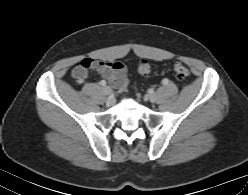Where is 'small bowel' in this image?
I'll list each match as a JSON object with an SVG mask.
<instances>
[{
    "instance_id": "obj_1",
    "label": "small bowel",
    "mask_w": 248,
    "mask_h": 195,
    "mask_svg": "<svg viewBox=\"0 0 248 195\" xmlns=\"http://www.w3.org/2000/svg\"><path fill=\"white\" fill-rule=\"evenodd\" d=\"M77 68H80V64L77 65L74 70ZM90 71L99 74L113 89H118L120 81L126 79L125 66L121 62H111L107 60H91V67L86 70L83 77H73L78 83H82L87 80Z\"/></svg>"
}]
</instances>
